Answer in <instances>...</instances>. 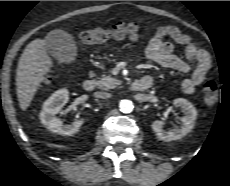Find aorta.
Segmentation results:
<instances>
[{
    "instance_id": "1",
    "label": "aorta",
    "mask_w": 230,
    "mask_h": 186,
    "mask_svg": "<svg viewBox=\"0 0 230 186\" xmlns=\"http://www.w3.org/2000/svg\"><path fill=\"white\" fill-rule=\"evenodd\" d=\"M119 108H120V111L123 113H130L132 112L134 106H133L132 101L125 99V100H121L119 104Z\"/></svg>"
}]
</instances>
